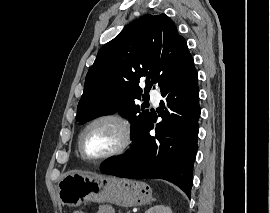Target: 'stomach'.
<instances>
[{
	"label": "stomach",
	"instance_id": "0dacf381",
	"mask_svg": "<svg viewBox=\"0 0 270 213\" xmlns=\"http://www.w3.org/2000/svg\"><path fill=\"white\" fill-rule=\"evenodd\" d=\"M57 187L61 203L69 207H77L87 201L132 207L152 199V190L144 182L81 171L67 172Z\"/></svg>",
	"mask_w": 270,
	"mask_h": 213
}]
</instances>
